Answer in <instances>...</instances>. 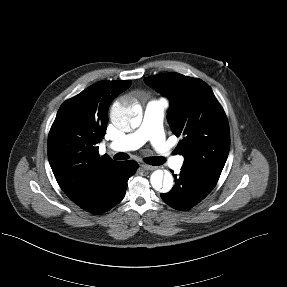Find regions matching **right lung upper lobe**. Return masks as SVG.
I'll list each match as a JSON object with an SVG mask.
<instances>
[{"label":"right lung upper lobe","mask_w":287,"mask_h":287,"mask_svg":"<svg viewBox=\"0 0 287 287\" xmlns=\"http://www.w3.org/2000/svg\"><path fill=\"white\" fill-rule=\"evenodd\" d=\"M130 80L101 81L66 100L59 108L48 136V159L63 192L75 203L117 161L99 156L108 108L129 88Z\"/></svg>","instance_id":"right-lung-upper-lobe-1"}]
</instances>
